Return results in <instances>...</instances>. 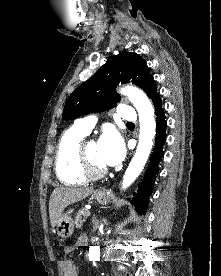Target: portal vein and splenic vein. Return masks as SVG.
I'll return each instance as SVG.
<instances>
[{
  "mask_svg": "<svg viewBox=\"0 0 221 276\" xmlns=\"http://www.w3.org/2000/svg\"><path fill=\"white\" fill-rule=\"evenodd\" d=\"M90 215H91V212H90V211H88V212H87V216H90Z\"/></svg>",
  "mask_w": 221,
  "mask_h": 276,
  "instance_id": "1",
  "label": "portal vein and splenic vein"
}]
</instances>
